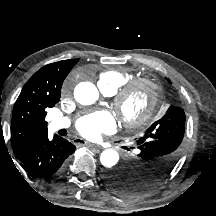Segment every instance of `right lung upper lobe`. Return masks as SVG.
<instances>
[{
    "instance_id": "cb5924a9",
    "label": "right lung upper lobe",
    "mask_w": 216,
    "mask_h": 216,
    "mask_svg": "<svg viewBox=\"0 0 216 216\" xmlns=\"http://www.w3.org/2000/svg\"><path fill=\"white\" fill-rule=\"evenodd\" d=\"M77 62L78 59H70L48 64L22 88L14 105L11 126V142L16 156L48 132L46 110L59 102L62 83Z\"/></svg>"
}]
</instances>
